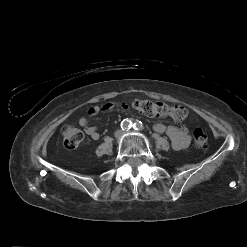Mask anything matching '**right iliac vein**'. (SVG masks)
<instances>
[{"mask_svg":"<svg viewBox=\"0 0 247 247\" xmlns=\"http://www.w3.org/2000/svg\"><path fill=\"white\" fill-rule=\"evenodd\" d=\"M121 135H122V132H121V131H117L116 134H115V136H116L117 138H119Z\"/></svg>","mask_w":247,"mask_h":247,"instance_id":"right-iliac-vein-1","label":"right iliac vein"}]
</instances>
